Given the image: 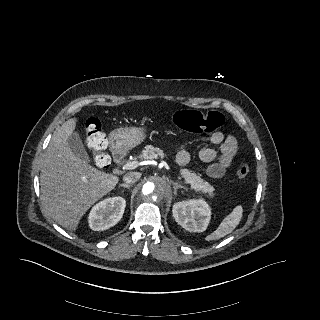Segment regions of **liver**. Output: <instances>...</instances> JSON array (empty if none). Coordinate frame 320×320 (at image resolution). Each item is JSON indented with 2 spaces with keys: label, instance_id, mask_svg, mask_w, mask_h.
<instances>
[{
  "label": "liver",
  "instance_id": "6515ba94",
  "mask_svg": "<svg viewBox=\"0 0 320 320\" xmlns=\"http://www.w3.org/2000/svg\"><path fill=\"white\" fill-rule=\"evenodd\" d=\"M77 118L54 133L45 153L41 174V199L46 212L63 228L75 231L82 216L117 185L119 177L101 172L77 157L67 144Z\"/></svg>",
  "mask_w": 320,
  "mask_h": 320
}]
</instances>
